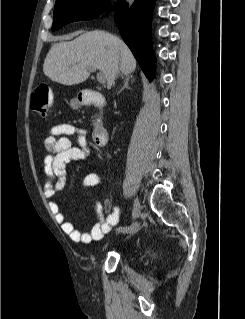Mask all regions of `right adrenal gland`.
<instances>
[{"label":"right adrenal gland","mask_w":245,"mask_h":319,"mask_svg":"<svg viewBox=\"0 0 245 319\" xmlns=\"http://www.w3.org/2000/svg\"><path fill=\"white\" fill-rule=\"evenodd\" d=\"M133 78L132 75H126L125 78H124V85L123 87L120 89V91L118 92L121 93L124 89H130L129 87V81Z\"/></svg>","instance_id":"1"}]
</instances>
